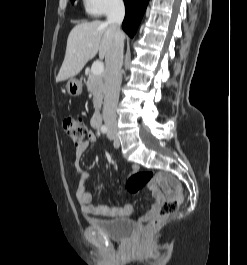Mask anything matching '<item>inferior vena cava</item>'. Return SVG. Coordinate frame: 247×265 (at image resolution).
<instances>
[{"label":"inferior vena cava","instance_id":"inferior-vena-cava-1","mask_svg":"<svg viewBox=\"0 0 247 265\" xmlns=\"http://www.w3.org/2000/svg\"><path fill=\"white\" fill-rule=\"evenodd\" d=\"M125 15L123 0H113L107 12V22L114 27V40L108 50L105 63L106 89L103 107L104 122L108 127H116V109L122 81L121 68L123 64L124 34L120 25Z\"/></svg>","mask_w":247,"mask_h":265}]
</instances>
